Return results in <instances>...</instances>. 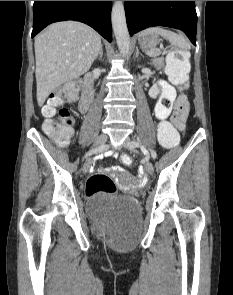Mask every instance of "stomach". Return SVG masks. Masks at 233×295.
Segmentation results:
<instances>
[{
  "label": "stomach",
  "instance_id": "stomach-1",
  "mask_svg": "<svg viewBox=\"0 0 233 295\" xmlns=\"http://www.w3.org/2000/svg\"><path fill=\"white\" fill-rule=\"evenodd\" d=\"M159 37L157 34H147L140 36L138 41L142 50L154 49V47L159 42Z\"/></svg>",
  "mask_w": 233,
  "mask_h": 295
}]
</instances>
